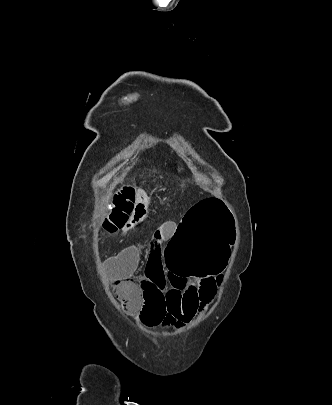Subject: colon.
Here are the masks:
<instances>
[{"instance_id":"colon-1","label":"colon","mask_w":332,"mask_h":405,"mask_svg":"<svg viewBox=\"0 0 332 405\" xmlns=\"http://www.w3.org/2000/svg\"><path fill=\"white\" fill-rule=\"evenodd\" d=\"M131 208H137L135 190L126 186L115 194L111 211L104 223L108 232H115L133 225L138 217H131ZM235 221L228 202L219 197H200L184 211V220H175V234L165 248V266L171 275H219L229 268L233 257L232 243ZM119 301L131 311H142L141 293L130 279L115 285ZM168 296V294H167ZM139 320V317H137Z\"/></svg>"}]
</instances>
